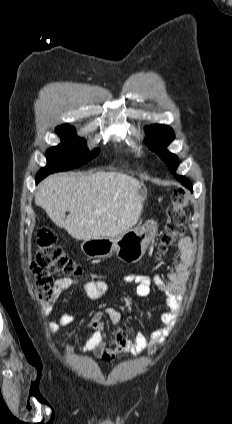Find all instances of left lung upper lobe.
<instances>
[{
  "label": "left lung upper lobe",
  "mask_w": 232,
  "mask_h": 424,
  "mask_svg": "<svg viewBox=\"0 0 232 424\" xmlns=\"http://www.w3.org/2000/svg\"><path fill=\"white\" fill-rule=\"evenodd\" d=\"M147 139L145 143L148 147L155 151L160 158L166 162L169 170L174 173L178 166V158L176 155L170 153L166 146L174 139L175 135L171 128L165 125H150L145 128ZM179 180L183 176L175 175Z\"/></svg>",
  "instance_id": "1"
}]
</instances>
